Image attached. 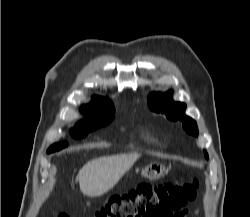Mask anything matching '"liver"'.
<instances>
[{
    "mask_svg": "<svg viewBox=\"0 0 250 217\" xmlns=\"http://www.w3.org/2000/svg\"><path fill=\"white\" fill-rule=\"evenodd\" d=\"M141 157L140 154H118L89 161L79 171L81 192L88 197H99L112 189L122 176Z\"/></svg>",
    "mask_w": 250,
    "mask_h": 217,
    "instance_id": "1",
    "label": "liver"
}]
</instances>
